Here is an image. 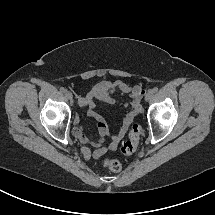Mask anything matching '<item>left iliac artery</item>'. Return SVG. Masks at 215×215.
I'll list each match as a JSON object with an SVG mask.
<instances>
[{"label": "left iliac artery", "mask_w": 215, "mask_h": 215, "mask_svg": "<svg viewBox=\"0 0 215 215\" xmlns=\"http://www.w3.org/2000/svg\"><path fill=\"white\" fill-rule=\"evenodd\" d=\"M158 91V88L157 87H154L153 89H152V92L153 93H156Z\"/></svg>", "instance_id": "44dca946"}]
</instances>
